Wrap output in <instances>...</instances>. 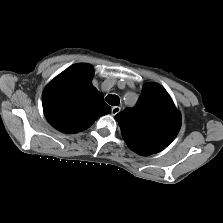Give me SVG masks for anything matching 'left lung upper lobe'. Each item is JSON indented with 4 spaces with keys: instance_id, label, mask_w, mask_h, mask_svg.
I'll list each match as a JSON object with an SVG mask.
<instances>
[{
    "instance_id": "5c2ea615",
    "label": "left lung upper lobe",
    "mask_w": 223,
    "mask_h": 223,
    "mask_svg": "<svg viewBox=\"0 0 223 223\" xmlns=\"http://www.w3.org/2000/svg\"><path fill=\"white\" fill-rule=\"evenodd\" d=\"M115 118L128 147L143 156L165 149L181 126L180 113L172 99L156 83L145 84L136 107L126 108Z\"/></svg>"
}]
</instances>
